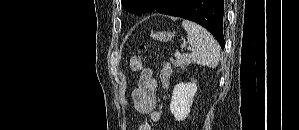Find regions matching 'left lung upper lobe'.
<instances>
[{"instance_id": "left-lung-upper-lobe-1", "label": "left lung upper lobe", "mask_w": 299, "mask_h": 130, "mask_svg": "<svg viewBox=\"0 0 299 130\" xmlns=\"http://www.w3.org/2000/svg\"><path fill=\"white\" fill-rule=\"evenodd\" d=\"M154 2L156 0H122V6L124 10L140 15Z\"/></svg>"}]
</instances>
